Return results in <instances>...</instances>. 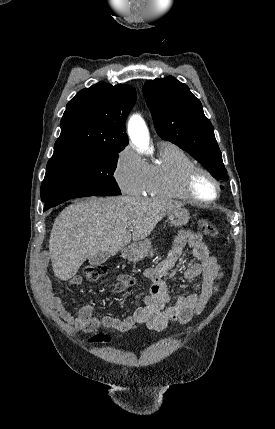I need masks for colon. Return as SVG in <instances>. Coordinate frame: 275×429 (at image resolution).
I'll use <instances>...</instances> for the list:
<instances>
[{
    "instance_id": "1",
    "label": "colon",
    "mask_w": 275,
    "mask_h": 429,
    "mask_svg": "<svg viewBox=\"0 0 275 429\" xmlns=\"http://www.w3.org/2000/svg\"><path fill=\"white\" fill-rule=\"evenodd\" d=\"M198 225L201 233L208 237H217L219 235L217 226L207 219H201ZM83 272L88 280L98 281L106 274L107 268L103 265H87L84 267ZM107 340L108 337L103 334H98L92 338L94 342H103Z\"/></svg>"
}]
</instances>
